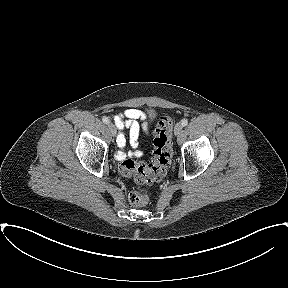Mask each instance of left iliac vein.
Segmentation results:
<instances>
[{
  "mask_svg": "<svg viewBox=\"0 0 288 288\" xmlns=\"http://www.w3.org/2000/svg\"><path fill=\"white\" fill-rule=\"evenodd\" d=\"M182 129H183L182 124H181V123H177V124L175 125V128H174V133H175V135H177V136L180 135Z\"/></svg>",
  "mask_w": 288,
  "mask_h": 288,
  "instance_id": "1",
  "label": "left iliac vein"
}]
</instances>
